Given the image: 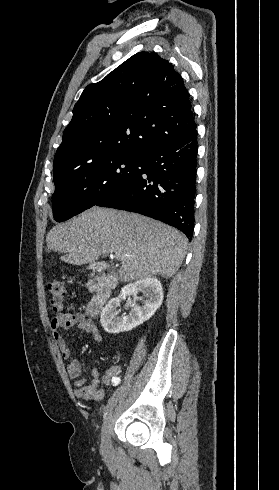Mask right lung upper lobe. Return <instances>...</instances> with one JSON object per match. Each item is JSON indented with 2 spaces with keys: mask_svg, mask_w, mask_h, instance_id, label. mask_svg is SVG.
<instances>
[{
  "mask_svg": "<svg viewBox=\"0 0 279 490\" xmlns=\"http://www.w3.org/2000/svg\"><path fill=\"white\" fill-rule=\"evenodd\" d=\"M196 130L189 94L172 64L139 52L88 85L54 158V177L109 153L144 157Z\"/></svg>",
  "mask_w": 279,
  "mask_h": 490,
  "instance_id": "obj_1",
  "label": "right lung upper lobe"
}]
</instances>
